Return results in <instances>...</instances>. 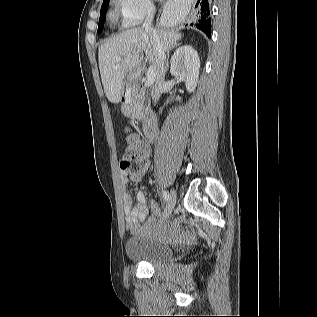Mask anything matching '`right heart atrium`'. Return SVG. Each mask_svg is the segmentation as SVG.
<instances>
[{
	"label": "right heart atrium",
	"instance_id": "1",
	"mask_svg": "<svg viewBox=\"0 0 317 317\" xmlns=\"http://www.w3.org/2000/svg\"><path fill=\"white\" fill-rule=\"evenodd\" d=\"M124 27H135L155 12L152 0H115Z\"/></svg>",
	"mask_w": 317,
	"mask_h": 317
}]
</instances>
